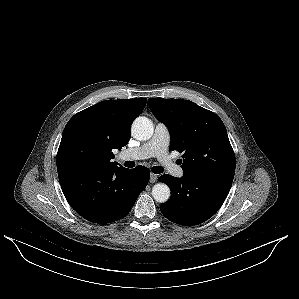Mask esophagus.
<instances>
[{
	"instance_id": "obj_1",
	"label": "esophagus",
	"mask_w": 299,
	"mask_h": 299,
	"mask_svg": "<svg viewBox=\"0 0 299 299\" xmlns=\"http://www.w3.org/2000/svg\"><path fill=\"white\" fill-rule=\"evenodd\" d=\"M157 175L156 174H153V173H151V175H150V183H155L156 181H157Z\"/></svg>"
}]
</instances>
